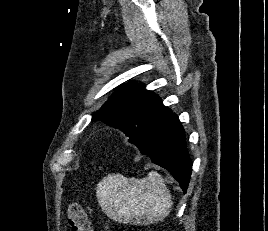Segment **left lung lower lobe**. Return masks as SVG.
Here are the masks:
<instances>
[{
	"instance_id": "1",
	"label": "left lung lower lobe",
	"mask_w": 268,
	"mask_h": 231,
	"mask_svg": "<svg viewBox=\"0 0 268 231\" xmlns=\"http://www.w3.org/2000/svg\"><path fill=\"white\" fill-rule=\"evenodd\" d=\"M135 145L153 163L167 169L186 193L192 162L186 147L184 129L175 113L171 112L146 139Z\"/></svg>"
}]
</instances>
